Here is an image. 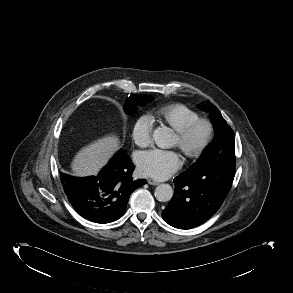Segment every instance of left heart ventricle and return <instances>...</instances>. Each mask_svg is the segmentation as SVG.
<instances>
[{
	"label": "left heart ventricle",
	"mask_w": 293,
	"mask_h": 293,
	"mask_svg": "<svg viewBox=\"0 0 293 293\" xmlns=\"http://www.w3.org/2000/svg\"><path fill=\"white\" fill-rule=\"evenodd\" d=\"M204 135H205V130L203 128L198 129L196 131V133L194 134V136L192 137L191 145L194 146V145L199 144L202 141ZM178 143H179V140L176 137L175 138V144L178 145Z\"/></svg>",
	"instance_id": "1"
}]
</instances>
